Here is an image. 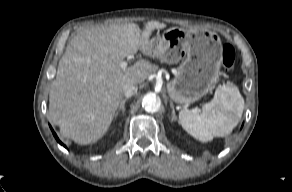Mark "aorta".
<instances>
[{
	"label": "aorta",
	"mask_w": 292,
	"mask_h": 192,
	"mask_svg": "<svg viewBox=\"0 0 292 192\" xmlns=\"http://www.w3.org/2000/svg\"><path fill=\"white\" fill-rule=\"evenodd\" d=\"M142 106L147 112L154 113L160 109V100L155 93H147L142 99Z\"/></svg>",
	"instance_id": "1"
}]
</instances>
